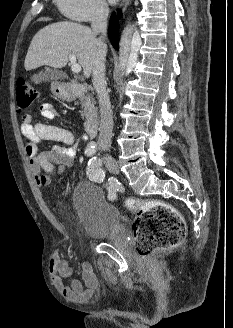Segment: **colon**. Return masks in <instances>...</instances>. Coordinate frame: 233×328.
<instances>
[{
	"label": "colon",
	"mask_w": 233,
	"mask_h": 328,
	"mask_svg": "<svg viewBox=\"0 0 233 328\" xmlns=\"http://www.w3.org/2000/svg\"><path fill=\"white\" fill-rule=\"evenodd\" d=\"M16 99L19 110H28L37 99V91L24 78H19ZM128 207L136 215L133 242L139 256L145 258L175 247L185 237L186 223L175 207L157 200H131Z\"/></svg>",
	"instance_id": "1"
}]
</instances>
